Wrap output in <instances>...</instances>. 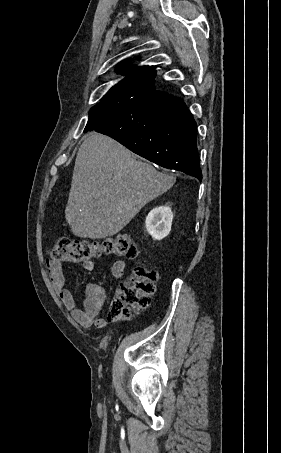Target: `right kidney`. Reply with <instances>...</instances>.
Wrapping results in <instances>:
<instances>
[{
    "label": "right kidney",
    "instance_id": "1",
    "mask_svg": "<svg viewBox=\"0 0 281 453\" xmlns=\"http://www.w3.org/2000/svg\"><path fill=\"white\" fill-rule=\"evenodd\" d=\"M173 212L170 206H155L150 210L146 216L145 227L155 239V241H161L164 237H167L172 227Z\"/></svg>",
    "mask_w": 281,
    "mask_h": 453
}]
</instances>
